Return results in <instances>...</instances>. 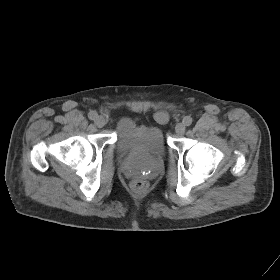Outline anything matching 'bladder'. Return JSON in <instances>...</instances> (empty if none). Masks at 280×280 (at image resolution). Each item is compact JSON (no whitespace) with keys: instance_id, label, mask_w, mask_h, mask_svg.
<instances>
[{"instance_id":"1","label":"bladder","mask_w":280,"mask_h":280,"mask_svg":"<svg viewBox=\"0 0 280 280\" xmlns=\"http://www.w3.org/2000/svg\"><path fill=\"white\" fill-rule=\"evenodd\" d=\"M116 146L124 154H139L149 157L165 155L167 145L158 126L138 124L124 117L117 124Z\"/></svg>"}]
</instances>
